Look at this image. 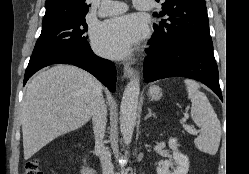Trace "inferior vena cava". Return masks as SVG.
I'll use <instances>...</instances> for the list:
<instances>
[{"label": "inferior vena cava", "mask_w": 249, "mask_h": 174, "mask_svg": "<svg viewBox=\"0 0 249 174\" xmlns=\"http://www.w3.org/2000/svg\"><path fill=\"white\" fill-rule=\"evenodd\" d=\"M93 131L95 136V148L99 152L103 174H114V168L110 154L106 151L103 139L105 136V128L107 123V109L105 101L100 96L93 110Z\"/></svg>", "instance_id": "inferior-vena-cava-1"}]
</instances>
